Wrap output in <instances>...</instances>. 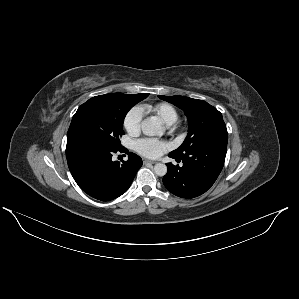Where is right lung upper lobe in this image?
<instances>
[{
  "label": "right lung upper lobe",
  "instance_id": "obj_1",
  "mask_svg": "<svg viewBox=\"0 0 299 299\" xmlns=\"http://www.w3.org/2000/svg\"><path fill=\"white\" fill-rule=\"evenodd\" d=\"M115 94H117V93L100 95V96L93 97V98H91V99H89V100H92V101L104 100V99H108V98L112 97V96L115 95ZM148 95H149V94H147V93H141V94H134L133 96H134L135 98H139V99H142V98H143V99H145ZM143 99H142V100H143Z\"/></svg>",
  "mask_w": 299,
  "mask_h": 299
}]
</instances>
